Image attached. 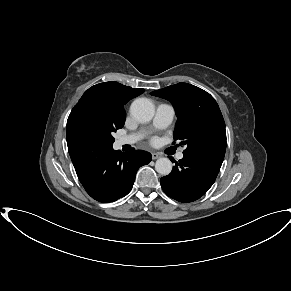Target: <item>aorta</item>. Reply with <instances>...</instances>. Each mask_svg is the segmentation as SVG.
Here are the masks:
<instances>
[{
  "instance_id": "aorta-1",
  "label": "aorta",
  "mask_w": 291,
  "mask_h": 291,
  "mask_svg": "<svg viewBox=\"0 0 291 291\" xmlns=\"http://www.w3.org/2000/svg\"><path fill=\"white\" fill-rule=\"evenodd\" d=\"M154 113V104L148 98H137L130 106V114L140 123L149 122L153 118ZM155 170L160 175H168L172 171V162L169 158H159L155 163Z\"/></svg>"
}]
</instances>
